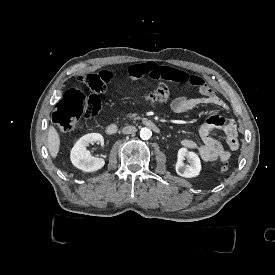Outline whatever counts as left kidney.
<instances>
[{"instance_id":"5707ae66","label":"left kidney","mask_w":275,"mask_h":275,"mask_svg":"<svg viewBox=\"0 0 275 275\" xmlns=\"http://www.w3.org/2000/svg\"><path fill=\"white\" fill-rule=\"evenodd\" d=\"M184 157H187L191 163L188 168L183 166ZM175 171L177 175L183 178H194L199 176L201 171V161L199 156L193 151H188L185 147L180 148L177 152Z\"/></svg>"}]
</instances>
